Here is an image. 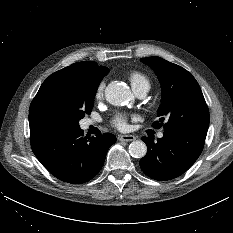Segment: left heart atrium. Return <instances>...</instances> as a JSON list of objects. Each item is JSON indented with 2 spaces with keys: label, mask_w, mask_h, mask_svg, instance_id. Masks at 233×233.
I'll return each instance as SVG.
<instances>
[{
  "label": "left heart atrium",
  "mask_w": 233,
  "mask_h": 233,
  "mask_svg": "<svg viewBox=\"0 0 233 233\" xmlns=\"http://www.w3.org/2000/svg\"><path fill=\"white\" fill-rule=\"evenodd\" d=\"M113 125L118 128L119 130H125L128 127L127 124V116L124 114H117L113 121H112Z\"/></svg>",
  "instance_id": "39dd6f15"
}]
</instances>
